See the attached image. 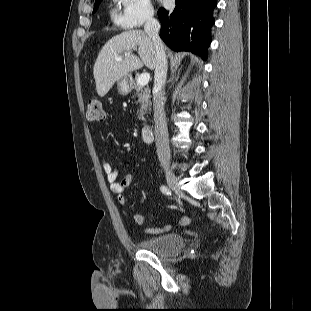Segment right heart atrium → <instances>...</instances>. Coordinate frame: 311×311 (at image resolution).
I'll use <instances>...</instances> for the list:
<instances>
[{"label": "right heart atrium", "mask_w": 311, "mask_h": 311, "mask_svg": "<svg viewBox=\"0 0 311 311\" xmlns=\"http://www.w3.org/2000/svg\"><path fill=\"white\" fill-rule=\"evenodd\" d=\"M114 21L124 30H135L153 18L150 0H114Z\"/></svg>", "instance_id": "d8ad5b80"}]
</instances>
